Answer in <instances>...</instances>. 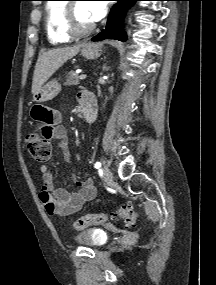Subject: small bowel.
Here are the masks:
<instances>
[{"mask_svg": "<svg viewBox=\"0 0 216 285\" xmlns=\"http://www.w3.org/2000/svg\"><path fill=\"white\" fill-rule=\"evenodd\" d=\"M81 106L87 102L95 103L90 92L84 91L79 94ZM32 117L36 121L34 133L43 136V141H58L66 163L70 161V154L67 148V130L61 124V116L56 110L42 105H36L32 109ZM43 185L39 198L44 205L46 212L51 216H67L78 211L82 205L92 200L97 193L94 182L91 178L76 182L77 191L69 192L64 188L55 186L53 173L47 165H42Z\"/></svg>", "mask_w": 216, "mask_h": 285, "instance_id": "small-bowel-1", "label": "small bowel"}]
</instances>
